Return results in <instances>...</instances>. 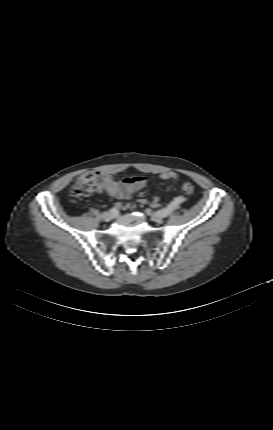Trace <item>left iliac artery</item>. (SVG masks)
<instances>
[{"label":"left iliac artery","instance_id":"1","mask_svg":"<svg viewBox=\"0 0 273 430\" xmlns=\"http://www.w3.org/2000/svg\"><path fill=\"white\" fill-rule=\"evenodd\" d=\"M185 201V198L182 195H179L177 197V200H174L173 202H171L167 207L159 210L158 212L161 214L162 217H167L168 215L171 214V212L174 210V208L178 205V204H182Z\"/></svg>","mask_w":273,"mask_h":430}]
</instances>
